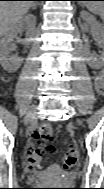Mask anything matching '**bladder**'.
Segmentation results:
<instances>
[{
	"instance_id": "bladder-1",
	"label": "bladder",
	"mask_w": 104,
	"mask_h": 189,
	"mask_svg": "<svg viewBox=\"0 0 104 189\" xmlns=\"http://www.w3.org/2000/svg\"><path fill=\"white\" fill-rule=\"evenodd\" d=\"M60 174V169L58 166H50L43 174L45 178H53Z\"/></svg>"
}]
</instances>
